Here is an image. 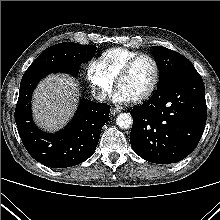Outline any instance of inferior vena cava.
I'll return each mask as SVG.
<instances>
[{"mask_svg":"<svg viewBox=\"0 0 220 220\" xmlns=\"http://www.w3.org/2000/svg\"><path fill=\"white\" fill-rule=\"evenodd\" d=\"M92 95H93L94 99H96L97 101H100V102L104 101L106 99V96H107V94L103 90L102 91L93 90Z\"/></svg>","mask_w":220,"mask_h":220,"instance_id":"1","label":"inferior vena cava"}]
</instances>
